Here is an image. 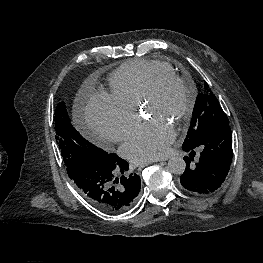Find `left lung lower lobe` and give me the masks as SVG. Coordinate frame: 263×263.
Here are the masks:
<instances>
[{
  "instance_id": "left-lung-lower-lobe-1",
  "label": "left lung lower lobe",
  "mask_w": 263,
  "mask_h": 263,
  "mask_svg": "<svg viewBox=\"0 0 263 263\" xmlns=\"http://www.w3.org/2000/svg\"><path fill=\"white\" fill-rule=\"evenodd\" d=\"M190 152L185 156L187 167L180 177L181 185L194 194L205 195L217 190L224 182L232 162V133L229 124L218 125L209 130L199 141L183 145ZM200 148V156L195 165V149Z\"/></svg>"
}]
</instances>
